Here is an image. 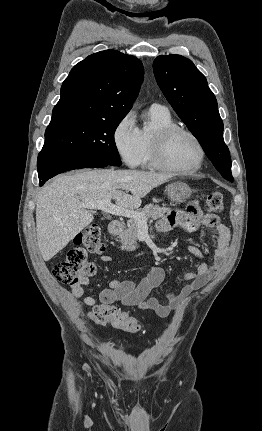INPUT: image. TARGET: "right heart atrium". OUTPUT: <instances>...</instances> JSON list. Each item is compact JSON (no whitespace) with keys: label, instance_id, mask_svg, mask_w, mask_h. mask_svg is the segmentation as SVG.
<instances>
[{"label":"right heart atrium","instance_id":"obj_1","mask_svg":"<svg viewBox=\"0 0 262 431\" xmlns=\"http://www.w3.org/2000/svg\"><path fill=\"white\" fill-rule=\"evenodd\" d=\"M112 138L116 151L128 166L140 164L142 155L140 131L131 113L118 121Z\"/></svg>","mask_w":262,"mask_h":431}]
</instances>
